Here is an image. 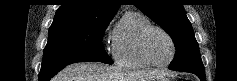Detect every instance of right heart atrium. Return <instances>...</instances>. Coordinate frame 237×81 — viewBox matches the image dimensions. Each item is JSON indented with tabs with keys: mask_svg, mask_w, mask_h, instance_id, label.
<instances>
[{
	"mask_svg": "<svg viewBox=\"0 0 237 81\" xmlns=\"http://www.w3.org/2000/svg\"><path fill=\"white\" fill-rule=\"evenodd\" d=\"M110 29V23L107 25L106 29H105V33L108 32Z\"/></svg>",
	"mask_w": 237,
	"mask_h": 81,
	"instance_id": "right-heart-atrium-1",
	"label": "right heart atrium"
}]
</instances>
